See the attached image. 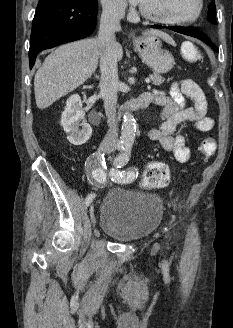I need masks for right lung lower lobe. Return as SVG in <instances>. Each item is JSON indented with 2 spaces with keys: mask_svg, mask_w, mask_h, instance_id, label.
Here are the masks:
<instances>
[{
  "mask_svg": "<svg viewBox=\"0 0 233 328\" xmlns=\"http://www.w3.org/2000/svg\"><path fill=\"white\" fill-rule=\"evenodd\" d=\"M97 11L96 0H39L30 38V68L40 51L91 33Z\"/></svg>",
  "mask_w": 233,
  "mask_h": 328,
  "instance_id": "obj_1",
  "label": "right lung lower lobe"
}]
</instances>
